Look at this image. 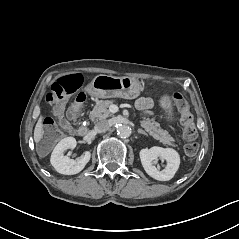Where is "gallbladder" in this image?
<instances>
[{
    "label": "gallbladder",
    "instance_id": "gallbladder-1",
    "mask_svg": "<svg viewBox=\"0 0 239 239\" xmlns=\"http://www.w3.org/2000/svg\"><path fill=\"white\" fill-rule=\"evenodd\" d=\"M42 149H47V147L45 145H38L37 146V153L40 156L41 155V150Z\"/></svg>",
    "mask_w": 239,
    "mask_h": 239
}]
</instances>
